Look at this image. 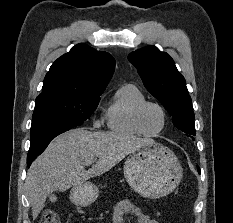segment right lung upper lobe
<instances>
[{
  "mask_svg": "<svg viewBox=\"0 0 233 223\" xmlns=\"http://www.w3.org/2000/svg\"><path fill=\"white\" fill-rule=\"evenodd\" d=\"M115 68L114 58L80 43L58 58L46 74L42 93L100 96Z\"/></svg>",
  "mask_w": 233,
  "mask_h": 223,
  "instance_id": "right-lung-upper-lobe-1",
  "label": "right lung upper lobe"
}]
</instances>
